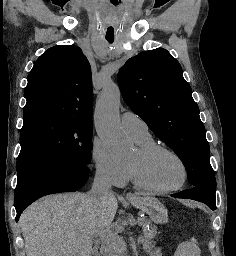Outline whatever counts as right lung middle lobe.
I'll return each mask as SVG.
<instances>
[{
	"label": "right lung middle lobe",
	"mask_w": 236,
	"mask_h": 256,
	"mask_svg": "<svg viewBox=\"0 0 236 256\" xmlns=\"http://www.w3.org/2000/svg\"><path fill=\"white\" fill-rule=\"evenodd\" d=\"M92 122L56 117L24 120L17 178L28 172L63 164L91 165Z\"/></svg>",
	"instance_id": "right-lung-middle-lobe-1"
}]
</instances>
